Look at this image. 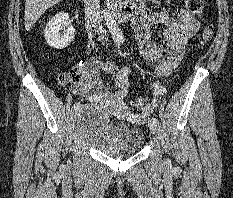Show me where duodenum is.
<instances>
[{"label":"duodenum","instance_id":"duodenum-1","mask_svg":"<svg viewBox=\"0 0 233 198\" xmlns=\"http://www.w3.org/2000/svg\"><path fill=\"white\" fill-rule=\"evenodd\" d=\"M140 0H125L120 4L114 14L120 22H126L134 15ZM89 21L93 22V17L89 16Z\"/></svg>","mask_w":233,"mask_h":198}]
</instances>
